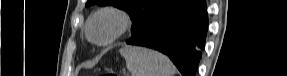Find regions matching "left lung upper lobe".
Instances as JSON below:
<instances>
[{"instance_id":"5c2ea615","label":"left lung upper lobe","mask_w":287,"mask_h":76,"mask_svg":"<svg viewBox=\"0 0 287 76\" xmlns=\"http://www.w3.org/2000/svg\"><path fill=\"white\" fill-rule=\"evenodd\" d=\"M184 0H88L86 6L99 4L101 6L113 5L129 13L133 24L132 36L142 33L148 24L162 13L180 5Z\"/></svg>"}]
</instances>
